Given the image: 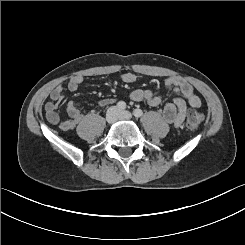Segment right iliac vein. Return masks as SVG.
<instances>
[{
	"mask_svg": "<svg viewBox=\"0 0 245 245\" xmlns=\"http://www.w3.org/2000/svg\"><path fill=\"white\" fill-rule=\"evenodd\" d=\"M118 116H119V111L117 107L113 106L108 110L106 114V120L108 123H114L117 120Z\"/></svg>",
	"mask_w": 245,
	"mask_h": 245,
	"instance_id": "1",
	"label": "right iliac vein"
}]
</instances>
